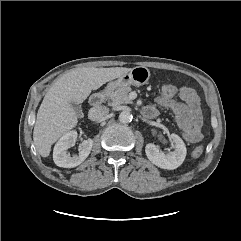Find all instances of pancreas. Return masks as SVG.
Segmentation results:
<instances>
[{
  "instance_id": "obj_1",
  "label": "pancreas",
  "mask_w": 241,
  "mask_h": 241,
  "mask_svg": "<svg viewBox=\"0 0 241 241\" xmlns=\"http://www.w3.org/2000/svg\"><path fill=\"white\" fill-rule=\"evenodd\" d=\"M130 86L119 87L114 91H110L106 94V98L110 106H116L120 104H131L132 100L129 98Z\"/></svg>"
}]
</instances>
